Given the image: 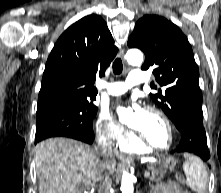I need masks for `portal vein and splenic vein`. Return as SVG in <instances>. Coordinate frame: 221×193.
Masks as SVG:
<instances>
[{
	"label": "portal vein and splenic vein",
	"mask_w": 221,
	"mask_h": 193,
	"mask_svg": "<svg viewBox=\"0 0 221 193\" xmlns=\"http://www.w3.org/2000/svg\"><path fill=\"white\" fill-rule=\"evenodd\" d=\"M149 176H150V173H149L148 171H145L144 177H145V178H148Z\"/></svg>",
	"instance_id": "18ae733b"
}]
</instances>
